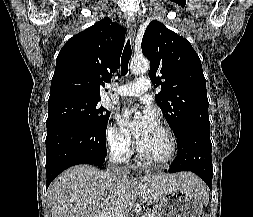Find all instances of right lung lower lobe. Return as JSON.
I'll list each match as a JSON object with an SVG mask.
<instances>
[{
	"label": "right lung lower lobe",
	"mask_w": 253,
	"mask_h": 217,
	"mask_svg": "<svg viewBox=\"0 0 253 217\" xmlns=\"http://www.w3.org/2000/svg\"><path fill=\"white\" fill-rule=\"evenodd\" d=\"M106 128H93L77 122H64L47 128V187L70 166L103 165L107 155Z\"/></svg>",
	"instance_id": "right-lung-lower-lobe-1"
}]
</instances>
